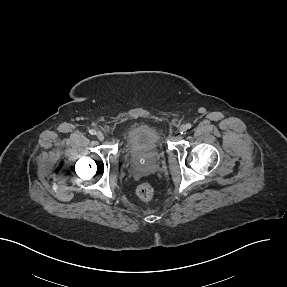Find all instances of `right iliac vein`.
Returning <instances> with one entry per match:
<instances>
[{
    "instance_id": "1",
    "label": "right iliac vein",
    "mask_w": 287,
    "mask_h": 287,
    "mask_svg": "<svg viewBox=\"0 0 287 287\" xmlns=\"http://www.w3.org/2000/svg\"><path fill=\"white\" fill-rule=\"evenodd\" d=\"M96 136L100 141H103L105 138V136L102 132H97Z\"/></svg>"
}]
</instances>
